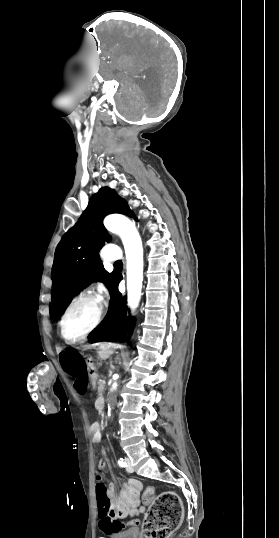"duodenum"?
Wrapping results in <instances>:
<instances>
[{
  "label": "duodenum",
  "instance_id": "duodenum-1",
  "mask_svg": "<svg viewBox=\"0 0 279 538\" xmlns=\"http://www.w3.org/2000/svg\"><path fill=\"white\" fill-rule=\"evenodd\" d=\"M90 372H91V385L93 386V389H96V386L98 385V373H97V366L95 364H91L89 366ZM105 400V397L103 395L98 396V402H96L95 409L97 410V413L99 415H102L104 413V406L103 401Z\"/></svg>",
  "mask_w": 279,
  "mask_h": 538
}]
</instances>
